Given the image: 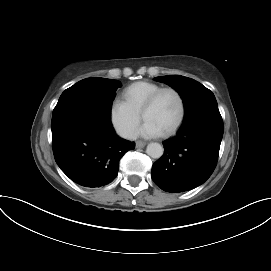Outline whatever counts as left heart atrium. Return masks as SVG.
<instances>
[{"label": "left heart atrium", "instance_id": "obj_1", "mask_svg": "<svg viewBox=\"0 0 271 271\" xmlns=\"http://www.w3.org/2000/svg\"><path fill=\"white\" fill-rule=\"evenodd\" d=\"M163 132L151 121L145 120L143 125L139 128L136 136H141L145 138L158 137L162 135Z\"/></svg>", "mask_w": 271, "mask_h": 271}]
</instances>
